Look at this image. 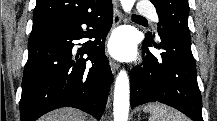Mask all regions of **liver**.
Instances as JSON below:
<instances>
[{"mask_svg": "<svg viewBox=\"0 0 217 121\" xmlns=\"http://www.w3.org/2000/svg\"><path fill=\"white\" fill-rule=\"evenodd\" d=\"M85 115L74 108L57 109L39 119V121H87Z\"/></svg>", "mask_w": 217, "mask_h": 121, "instance_id": "6515ba94", "label": "liver"}]
</instances>
